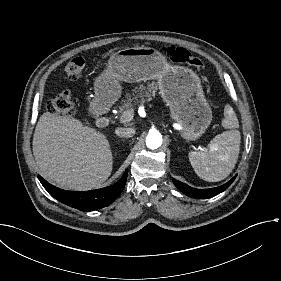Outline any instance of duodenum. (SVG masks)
Instances as JSON below:
<instances>
[{
	"label": "duodenum",
	"mask_w": 281,
	"mask_h": 281,
	"mask_svg": "<svg viewBox=\"0 0 281 281\" xmlns=\"http://www.w3.org/2000/svg\"><path fill=\"white\" fill-rule=\"evenodd\" d=\"M95 122L98 126H108L111 123V116L108 113H101L95 119Z\"/></svg>",
	"instance_id": "410a0bca"
}]
</instances>
